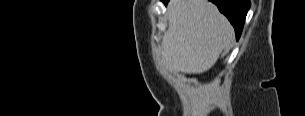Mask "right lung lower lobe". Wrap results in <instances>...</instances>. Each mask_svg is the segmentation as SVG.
Here are the masks:
<instances>
[{"instance_id":"right-lung-lower-lobe-1","label":"right lung lower lobe","mask_w":305,"mask_h":116,"mask_svg":"<svg viewBox=\"0 0 305 116\" xmlns=\"http://www.w3.org/2000/svg\"><path fill=\"white\" fill-rule=\"evenodd\" d=\"M162 1L165 4H167L169 0H162ZM210 1L216 4L219 11L223 13L231 22V24L235 29L236 39L238 40L243 29L247 12L251 5L250 1L249 0H210Z\"/></svg>"}]
</instances>
